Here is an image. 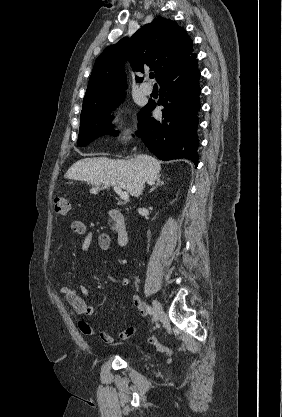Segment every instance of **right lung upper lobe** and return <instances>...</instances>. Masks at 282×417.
<instances>
[{
    "instance_id": "cb5924a9",
    "label": "right lung upper lobe",
    "mask_w": 282,
    "mask_h": 417,
    "mask_svg": "<svg viewBox=\"0 0 282 417\" xmlns=\"http://www.w3.org/2000/svg\"><path fill=\"white\" fill-rule=\"evenodd\" d=\"M193 42L175 21L162 17L139 29L131 38L125 37L107 47L97 58L85 97L123 92L127 88L125 64L133 71L150 67L159 83L163 77L196 59ZM142 78L136 76V81Z\"/></svg>"
}]
</instances>
